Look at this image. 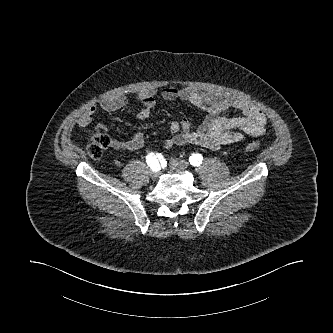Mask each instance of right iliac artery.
Segmentation results:
<instances>
[{"label":"right iliac artery","mask_w":333,"mask_h":333,"mask_svg":"<svg viewBox=\"0 0 333 333\" xmlns=\"http://www.w3.org/2000/svg\"><path fill=\"white\" fill-rule=\"evenodd\" d=\"M146 162L152 170L156 171V170H160V163H163L164 159L161 154L149 153L146 156Z\"/></svg>","instance_id":"82829eb1"}]
</instances>
